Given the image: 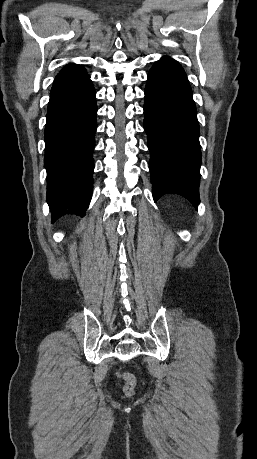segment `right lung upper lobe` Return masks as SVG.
Listing matches in <instances>:
<instances>
[{
    "mask_svg": "<svg viewBox=\"0 0 257 459\" xmlns=\"http://www.w3.org/2000/svg\"><path fill=\"white\" fill-rule=\"evenodd\" d=\"M85 73V69L82 66L71 63L61 70V72L56 76L55 81L65 78L78 77Z\"/></svg>",
    "mask_w": 257,
    "mask_h": 459,
    "instance_id": "right-lung-upper-lobe-1",
    "label": "right lung upper lobe"
}]
</instances>
